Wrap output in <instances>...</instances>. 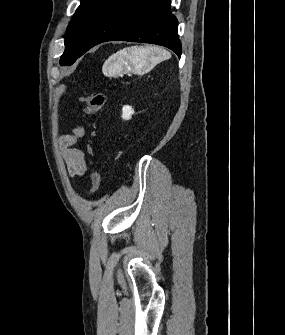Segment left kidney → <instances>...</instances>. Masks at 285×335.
<instances>
[{
    "mask_svg": "<svg viewBox=\"0 0 285 335\" xmlns=\"http://www.w3.org/2000/svg\"><path fill=\"white\" fill-rule=\"evenodd\" d=\"M132 114H134V110L132 106H123L122 108V116L123 120H130Z\"/></svg>",
    "mask_w": 285,
    "mask_h": 335,
    "instance_id": "obj_1",
    "label": "left kidney"
}]
</instances>
